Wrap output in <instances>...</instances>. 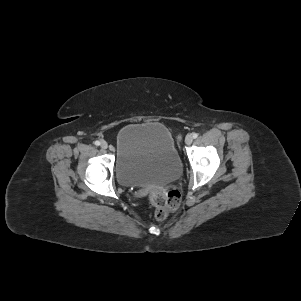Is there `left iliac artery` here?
<instances>
[{
	"label": "left iliac artery",
	"instance_id": "obj_1",
	"mask_svg": "<svg viewBox=\"0 0 301 301\" xmlns=\"http://www.w3.org/2000/svg\"><path fill=\"white\" fill-rule=\"evenodd\" d=\"M193 138L195 139V138H197L198 137V134L197 133H193Z\"/></svg>",
	"mask_w": 301,
	"mask_h": 301
}]
</instances>
